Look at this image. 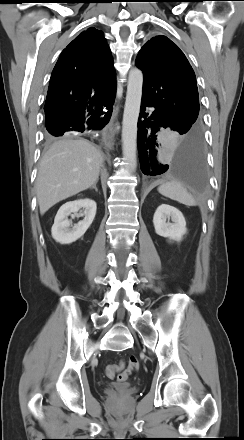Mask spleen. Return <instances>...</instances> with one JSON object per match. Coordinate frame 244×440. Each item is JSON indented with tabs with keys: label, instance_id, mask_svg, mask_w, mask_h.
<instances>
[{
	"label": "spleen",
	"instance_id": "spleen-1",
	"mask_svg": "<svg viewBox=\"0 0 244 440\" xmlns=\"http://www.w3.org/2000/svg\"><path fill=\"white\" fill-rule=\"evenodd\" d=\"M158 192L165 197L178 201L187 206H196L192 195L177 181H168L158 187Z\"/></svg>",
	"mask_w": 244,
	"mask_h": 440
}]
</instances>
